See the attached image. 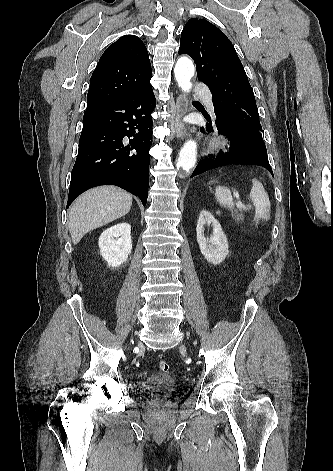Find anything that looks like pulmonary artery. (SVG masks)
<instances>
[{
    "label": "pulmonary artery",
    "mask_w": 333,
    "mask_h": 471,
    "mask_svg": "<svg viewBox=\"0 0 333 471\" xmlns=\"http://www.w3.org/2000/svg\"><path fill=\"white\" fill-rule=\"evenodd\" d=\"M195 93L199 96H202L205 101L209 104H212V96L209 90L202 84H197L194 89Z\"/></svg>",
    "instance_id": "obj_1"
}]
</instances>
